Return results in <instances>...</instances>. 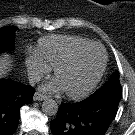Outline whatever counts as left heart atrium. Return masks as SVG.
<instances>
[{
	"label": "left heart atrium",
	"mask_w": 135,
	"mask_h": 135,
	"mask_svg": "<svg viewBox=\"0 0 135 135\" xmlns=\"http://www.w3.org/2000/svg\"><path fill=\"white\" fill-rule=\"evenodd\" d=\"M41 90L47 93H61L65 89L57 78L52 79L50 82L44 84Z\"/></svg>",
	"instance_id": "39dd6f15"
}]
</instances>
